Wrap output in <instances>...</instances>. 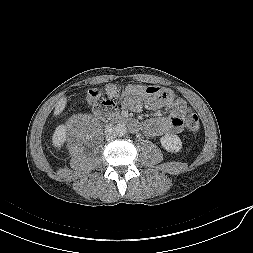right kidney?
<instances>
[{
  "mask_svg": "<svg viewBox=\"0 0 253 253\" xmlns=\"http://www.w3.org/2000/svg\"><path fill=\"white\" fill-rule=\"evenodd\" d=\"M67 132H66V128L64 126H59L56 128L53 137H52V142L53 145L60 149L61 146L65 143L66 138H67Z\"/></svg>",
  "mask_w": 253,
  "mask_h": 253,
  "instance_id": "1",
  "label": "right kidney"
}]
</instances>
